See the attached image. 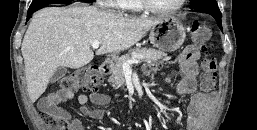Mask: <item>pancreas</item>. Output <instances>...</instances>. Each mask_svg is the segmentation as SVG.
<instances>
[{
    "label": "pancreas",
    "instance_id": "pancreas-1",
    "mask_svg": "<svg viewBox=\"0 0 257 130\" xmlns=\"http://www.w3.org/2000/svg\"><path fill=\"white\" fill-rule=\"evenodd\" d=\"M166 56V53L152 48L136 47L131 49L127 54L115 60L114 66L111 68V76L108 82L113 84L116 88L125 83V76L123 71V63L132 59H139L145 63L152 65L157 63L160 59Z\"/></svg>",
    "mask_w": 257,
    "mask_h": 130
}]
</instances>
